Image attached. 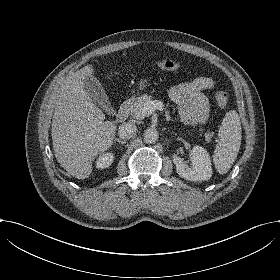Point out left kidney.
Wrapping results in <instances>:
<instances>
[{
	"instance_id": "left-kidney-1",
	"label": "left kidney",
	"mask_w": 280,
	"mask_h": 280,
	"mask_svg": "<svg viewBox=\"0 0 280 280\" xmlns=\"http://www.w3.org/2000/svg\"><path fill=\"white\" fill-rule=\"evenodd\" d=\"M175 164L177 173L187 180H208L213 173L210 155L200 145L193 146L190 160L176 157Z\"/></svg>"
}]
</instances>
